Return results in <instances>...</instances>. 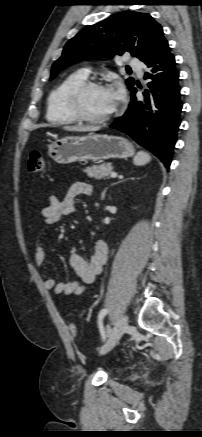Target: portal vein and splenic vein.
Here are the masks:
<instances>
[{
    "mask_svg": "<svg viewBox=\"0 0 202 437\" xmlns=\"http://www.w3.org/2000/svg\"><path fill=\"white\" fill-rule=\"evenodd\" d=\"M110 176H111L112 178H115V177H117V173H116V172H112Z\"/></svg>",
    "mask_w": 202,
    "mask_h": 437,
    "instance_id": "portal-vein-and-splenic-vein-1",
    "label": "portal vein and splenic vein"
}]
</instances>
